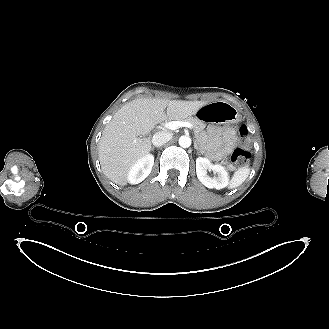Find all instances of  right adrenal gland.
<instances>
[{
  "label": "right adrenal gland",
  "mask_w": 329,
  "mask_h": 329,
  "mask_svg": "<svg viewBox=\"0 0 329 329\" xmlns=\"http://www.w3.org/2000/svg\"><path fill=\"white\" fill-rule=\"evenodd\" d=\"M154 149H155V147H152V148H151V150H154Z\"/></svg>",
  "instance_id": "right-adrenal-gland-1"
}]
</instances>
